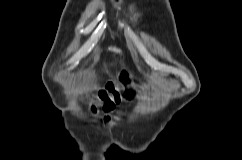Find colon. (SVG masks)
I'll return each instance as SVG.
<instances>
[{"label": "colon", "instance_id": "5ec220e1", "mask_svg": "<svg viewBox=\"0 0 242 160\" xmlns=\"http://www.w3.org/2000/svg\"><path fill=\"white\" fill-rule=\"evenodd\" d=\"M131 80L132 75L124 73L119 81L107 83L97 94V106L110 111L120 104L123 98H130L131 94L124 92L122 87L130 83ZM94 108L96 107L94 106Z\"/></svg>", "mask_w": 242, "mask_h": 160}]
</instances>
